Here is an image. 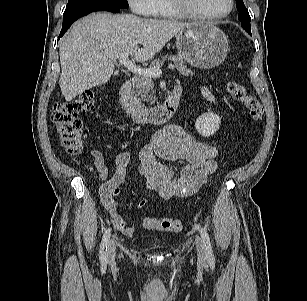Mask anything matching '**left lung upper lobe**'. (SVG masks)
Returning a JSON list of instances; mask_svg holds the SVG:
<instances>
[{"label":"left lung upper lobe","mask_w":307,"mask_h":301,"mask_svg":"<svg viewBox=\"0 0 307 301\" xmlns=\"http://www.w3.org/2000/svg\"><path fill=\"white\" fill-rule=\"evenodd\" d=\"M236 6H237V9L239 11L238 18L241 21V26L245 30L251 31V29H250L251 18H250V15L248 13V10L246 9V7L243 3V0H236Z\"/></svg>","instance_id":"left-lung-upper-lobe-1"}]
</instances>
